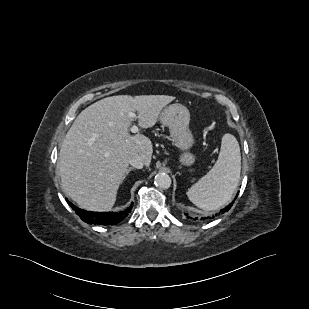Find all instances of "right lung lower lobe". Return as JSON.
<instances>
[{"label":"right lung lower lobe","mask_w":309,"mask_h":309,"mask_svg":"<svg viewBox=\"0 0 309 309\" xmlns=\"http://www.w3.org/2000/svg\"><path fill=\"white\" fill-rule=\"evenodd\" d=\"M66 201L84 222L88 224H98V225H115L121 222L126 216H128L133 207V203H131V206L129 208L120 213H113V212L98 213V212L82 210L74 206L71 202L68 201V199H66Z\"/></svg>","instance_id":"right-lung-lower-lobe-1"}]
</instances>
